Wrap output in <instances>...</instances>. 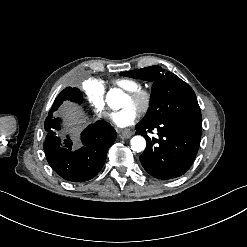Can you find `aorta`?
Returning <instances> with one entry per match:
<instances>
[{
	"instance_id": "762f6f07",
	"label": "aorta",
	"mask_w": 247,
	"mask_h": 247,
	"mask_svg": "<svg viewBox=\"0 0 247 247\" xmlns=\"http://www.w3.org/2000/svg\"><path fill=\"white\" fill-rule=\"evenodd\" d=\"M122 93L118 89H112L107 93L106 100L111 108L117 109L121 100ZM131 149L136 152H141L146 148V140L140 135L134 136L131 141Z\"/></svg>"
}]
</instances>
